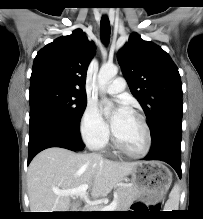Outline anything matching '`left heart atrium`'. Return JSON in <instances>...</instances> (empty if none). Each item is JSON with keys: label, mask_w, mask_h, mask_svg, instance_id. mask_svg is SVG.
Listing matches in <instances>:
<instances>
[{"label": "left heart atrium", "mask_w": 203, "mask_h": 219, "mask_svg": "<svg viewBox=\"0 0 203 219\" xmlns=\"http://www.w3.org/2000/svg\"><path fill=\"white\" fill-rule=\"evenodd\" d=\"M130 113L129 108L126 106V104L124 102H120L119 107L116 110L115 115L112 118V128L115 127V125L122 119L124 118L126 115H128Z\"/></svg>", "instance_id": "39dd6f15"}]
</instances>
